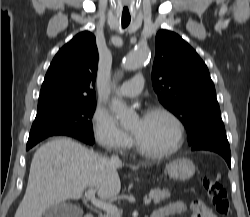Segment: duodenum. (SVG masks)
<instances>
[{
    "instance_id": "1",
    "label": "duodenum",
    "mask_w": 250,
    "mask_h": 217,
    "mask_svg": "<svg viewBox=\"0 0 250 217\" xmlns=\"http://www.w3.org/2000/svg\"><path fill=\"white\" fill-rule=\"evenodd\" d=\"M85 217H94V214L91 213V212H89V213H86V214H85ZM150 217H160V214H159L158 211H154V212L150 215Z\"/></svg>"
}]
</instances>
